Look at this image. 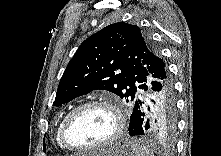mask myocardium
Returning a JSON list of instances; mask_svg holds the SVG:
<instances>
[{
    "instance_id": "obj_1",
    "label": "myocardium",
    "mask_w": 221,
    "mask_h": 156,
    "mask_svg": "<svg viewBox=\"0 0 221 156\" xmlns=\"http://www.w3.org/2000/svg\"><path fill=\"white\" fill-rule=\"evenodd\" d=\"M91 107H104V108H107L109 111H111L114 117V122H115L114 129L108 138H106L104 141L98 144L91 145V146L73 145L68 139V129L71 123L73 122V120L81 112ZM123 129H124V117L120 108L117 106V104L109 99H93V100H89L87 102H84L76 106L68 113L60 129V142L64 146V148L68 150H72V151L96 150V149L103 148L113 143L121 135Z\"/></svg>"
}]
</instances>
